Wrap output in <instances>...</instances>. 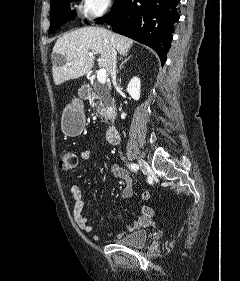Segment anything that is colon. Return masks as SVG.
<instances>
[{
  "mask_svg": "<svg viewBox=\"0 0 240 281\" xmlns=\"http://www.w3.org/2000/svg\"><path fill=\"white\" fill-rule=\"evenodd\" d=\"M78 156L73 151H65L60 158L59 166L64 171H70L77 167Z\"/></svg>",
  "mask_w": 240,
  "mask_h": 281,
  "instance_id": "5ec220e1",
  "label": "colon"
}]
</instances>
